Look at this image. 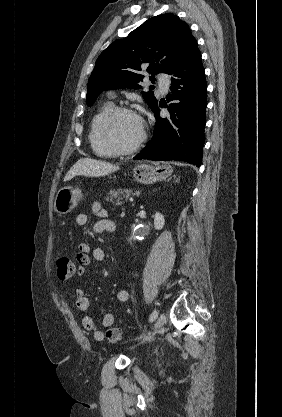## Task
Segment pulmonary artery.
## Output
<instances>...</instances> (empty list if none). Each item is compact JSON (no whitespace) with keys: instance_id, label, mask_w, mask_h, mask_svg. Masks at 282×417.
Instances as JSON below:
<instances>
[{"instance_id":"1","label":"pulmonary artery","mask_w":282,"mask_h":417,"mask_svg":"<svg viewBox=\"0 0 282 417\" xmlns=\"http://www.w3.org/2000/svg\"><path fill=\"white\" fill-rule=\"evenodd\" d=\"M158 80H159V81H162V80H163V77H162V76H159V77H158ZM161 85H162V88H163L164 90H167V89H168L169 82H168V81H164V82H162V83H161ZM112 95H113V93L111 92V93H110V96H112Z\"/></svg>"}]
</instances>
